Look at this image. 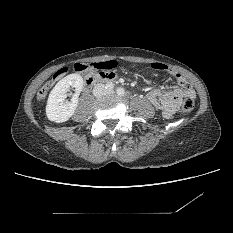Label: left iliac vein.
<instances>
[{
    "label": "left iliac vein",
    "instance_id": "1",
    "mask_svg": "<svg viewBox=\"0 0 233 233\" xmlns=\"http://www.w3.org/2000/svg\"><path fill=\"white\" fill-rule=\"evenodd\" d=\"M109 93H110V94L113 93V90H109Z\"/></svg>",
    "mask_w": 233,
    "mask_h": 233
}]
</instances>
